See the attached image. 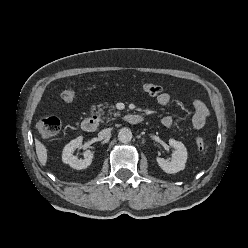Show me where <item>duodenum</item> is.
Instances as JSON below:
<instances>
[{
  "mask_svg": "<svg viewBox=\"0 0 248 248\" xmlns=\"http://www.w3.org/2000/svg\"><path fill=\"white\" fill-rule=\"evenodd\" d=\"M122 119L132 125L139 124L144 120L140 114L128 113L122 116ZM100 118L96 115H89L81 122V129L86 133H92L98 130Z\"/></svg>",
  "mask_w": 248,
  "mask_h": 248,
  "instance_id": "1",
  "label": "duodenum"
}]
</instances>
